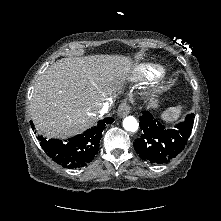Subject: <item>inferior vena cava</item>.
Masks as SVG:
<instances>
[{
  "label": "inferior vena cava",
  "instance_id": "602c4592",
  "mask_svg": "<svg viewBox=\"0 0 221 221\" xmlns=\"http://www.w3.org/2000/svg\"><path fill=\"white\" fill-rule=\"evenodd\" d=\"M108 108H109V103L105 102V103H101L99 109L96 111V114L101 117L103 116L105 113L108 112Z\"/></svg>",
  "mask_w": 221,
  "mask_h": 221
}]
</instances>
